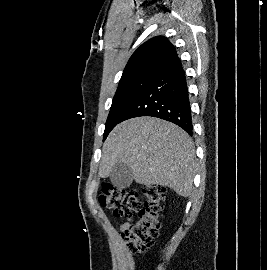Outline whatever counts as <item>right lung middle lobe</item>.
<instances>
[{
  "label": "right lung middle lobe",
  "instance_id": "obj_1",
  "mask_svg": "<svg viewBox=\"0 0 267 270\" xmlns=\"http://www.w3.org/2000/svg\"><path fill=\"white\" fill-rule=\"evenodd\" d=\"M154 77V74L141 75L119 84L105 124L104 140L118 123L124 121L129 110L143 95Z\"/></svg>",
  "mask_w": 267,
  "mask_h": 270
}]
</instances>
